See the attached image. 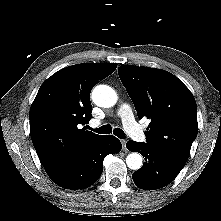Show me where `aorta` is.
Returning a JSON list of instances; mask_svg holds the SVG:
<instances>
[{
  "mask_svg": "<svg viewBox=\"0 0 221 221\" xmlns=\"http://www.w3.org/2000/svg\"><path fill=\"white\" fill-rule=\"evenodd\" d=\"M93 102L100 107L109 108L117 102L116 92L107 85L96 86L91 94ZM142 156L133 152L126 157V164L132 170H138L142 167Z\"/></svg>",
  "mask_w": 221,
  "mask_h": 221,
  "instance_id": "aorta-1",
  "label": "aorta"
}]
</instances>
